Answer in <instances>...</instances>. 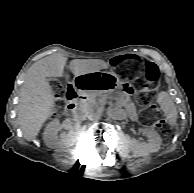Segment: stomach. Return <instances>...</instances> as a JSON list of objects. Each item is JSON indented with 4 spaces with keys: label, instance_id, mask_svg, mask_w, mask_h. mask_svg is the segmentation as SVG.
Returning a JSON list of instances; mask_svg holds the SVG:
<instances>
[{
    "label": "stomach",
    "instance_id": "stomach-1",
    "mask_svg": "<svg viewBox=\"0 0 194 193\" xmlns=\"http://www.w3.org/2000/svg\"><path fill=\"white\" fill-rule=\"evenodd\" d=\"M73 87L79 93H108L122 88L128 93L135 89L129 82H121L118 76L111 72L94 71L74 77Z\"/></svg>",
    "mask_w": 194,
    "mask_h": 193
}]
</instances>
